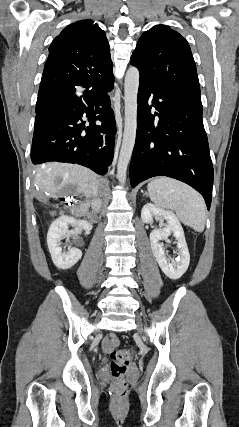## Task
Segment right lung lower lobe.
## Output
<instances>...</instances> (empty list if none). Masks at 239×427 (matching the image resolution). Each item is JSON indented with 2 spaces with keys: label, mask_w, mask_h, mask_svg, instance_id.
Instances as JSON below:
<instances>
[{
  "label": "right lung lower lobe",
  "mask_w": 239,
  "mask_h": 427,
  "mask_svg": "<svg viewBox=\"0 0 239 427\" xmlns=\"http://www.w3.org/2000/svg\"><path fill=\"white\" fill-rule=\"evenodd\" d=\"M113 87L112 75L90 87H66L37 99L32 162L77 163L106 174L116 134L107 94Z\"/></svg>",
  "instance_id": "right-lung-lower-lobe-1"
}]
</instances>
